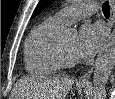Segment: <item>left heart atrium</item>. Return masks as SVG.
<instances>
[{"label": "left heart atrium", "instance_id": "39dd6f15", "mask_svg": "<svg viewBox=\"0 0 115 99\" xmlns=\"http://www.w3.org/2000/svg\"><path fill=\"white\" fill-rule=\"evenodd\" d=\"M105 37L101 24H85L81 27L74 47L75 59L84 61L91 58L98 50Z\"/></svg>", "mask_w": 115, "mask_h": 99}]
</instances>
